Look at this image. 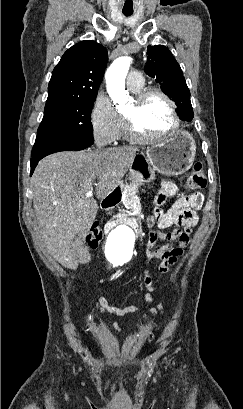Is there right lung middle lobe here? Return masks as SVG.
I'll return each mask as SVG.
<instances>
[{
	"mask_svg": "<svg viewBox=\"0 0 243 409\" xmlns=\"http://www.w3.org/2000/svg\"><path fill=\"white\" fill-rule=\"evenodd\" d=\"M95 98L46 102L37 135L55 137H93L91 110Z\"/></svg>",
	"mask_w": 243,
	"mask_h": 409,
	"instance_id": "1",
	"label": "right lung middle lobe"
}]
</instances>
